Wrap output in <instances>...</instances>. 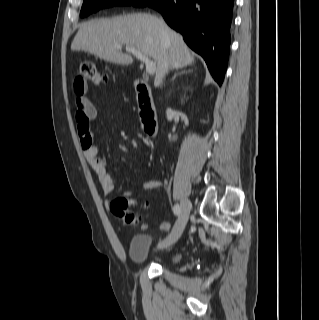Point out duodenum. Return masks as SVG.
<instances>
[{"label":"duodenum","instance_id":"duodenum-1","mask_svg":"<svg viewBox=\"0 0 319 320\" xmlns=\"http://www.w3.org/2000/svg\"><path fill=\"white\" fill-rule=\"evenodd\" d=\"M134 87L138 96L140 116L144 130L149 137H153L157 132V121L153 110L150 87L140 79L134 81Z\"/></svg>","mask_w":319,"mask_h":320}]
</instances>
